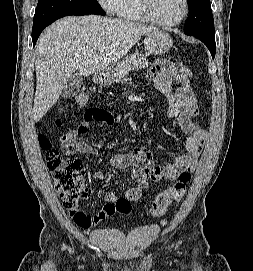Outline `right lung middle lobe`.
Masks as SVG:
<instances>
[{
    "instance_id": "right-lung-middle-lobe-1",
    "label": "right lung middle lobe",
    "mask_w": 253,
    "mask_h": 271,
    "mask_svg": "<svg viewBox=\"0 0 253 271\" xmlns=\"http://www.w3.org/2000/svg\"><path fill=\"white\" fill-rule=\"evenodd\" d=\"M105 15L97 0H38L32 31L68 15Z\"/></svg>"
}]
</instances>
